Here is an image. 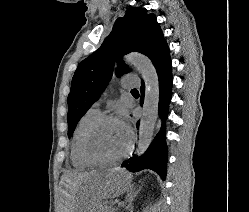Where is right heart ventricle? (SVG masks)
<instances>
[{"instance_id": "1", "label": "right heart ventricle", "mask_w": 249, "mask_h": 212, "mask_svg": "<svg viewBox=\"0 0 249 212\" xmlns=\"http://www.w3.org/2000/svg\"><path fill=\"white\" fill-rule=\"evenodd\" d=\"M100 115V111L97 108H89L77 122L69 143V159L73 168L78 170H83L89 167L90 165L83 160L80 155L79 144L81 136L85 128Z\"/></svg>"}]
</instances>
